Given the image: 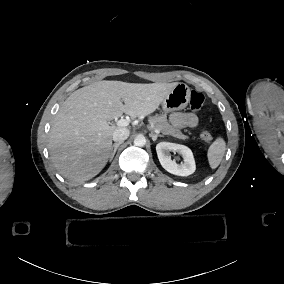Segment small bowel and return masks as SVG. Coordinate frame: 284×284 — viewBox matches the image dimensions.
Wrapping results in <instances>:
<instances>
[{
  "mask_svg": "<svg viewBox=\"0 0 284 284\" xmlns=\"http://www.w3.org/2000/svg\"><path fill=\"white\" fill-rule=\"evenodd\" d=\"M170 122L179 129L190 127L196 128L199 124L198 118L193 113L175 112L169 116Z\"/></svg>",
  "mask_w": 284,
  "mask_h": 284,
  "instance_id": "small-bowel-1",
  "label": "small bowel"
}]
</instances>
